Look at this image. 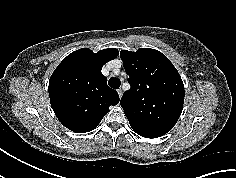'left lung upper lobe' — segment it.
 <instances>
[{"mask_svg":"<svg viewBox=\"0 0 236 178\" xmlns=\"http://www.w3.org/2000/svg\"><path fill=\"white\" fill-rule=\"evenodd\" d=\"M131 85L120 100L132 129L145 137H160L179 119L184 103L182 79L169 59L151 48L122 50Z\"/></svg>","mask_w":236,"mask_h":178,"instance_id":"5c2ea615","label":"left lung upper lobe"}]
</instances>
